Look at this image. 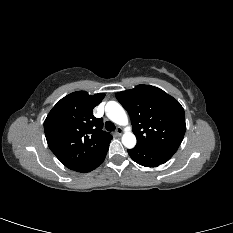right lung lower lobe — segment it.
Segmentation results:
<instances>
[{
  "label": "right lung lower lobe",
  "mask_w": 233,
  "mask_h": 233,
  "mask_svg": "<svg viewBox=\"0 0 233 233\" xmlns=\"http://www.w3.org/2000/svg\"><path fill=\"white\" fill-rule=\"evenodd\" d=\"M108 151V148L105 149L99 156L97 159H95L89 166H87L82 173L84 172H89L92 171L93 169H95L96 167H98L105 159L106 157V153Z\"/></svg>",
  "instance_id": "obj_1"
}]
</instances>
